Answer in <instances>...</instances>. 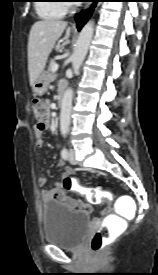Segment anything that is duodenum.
<instances>
[{
	"label": "duodenum",
	"instance_id": "1",
	"mask_svg": "<svg viewBox=\"0 0 158 275\" xmlns=\"http://www.w3.org/2000/svg\"><path fill=\"white\" fill-rule=\"evenodd\" d=\"M65 93H66V88H65V87H62V88L59 90V95H58V102H59V105H62V104H63Z\"/></svg>",
	"mask_w": 158,
	"mask_h": 275
}]
</instances>
